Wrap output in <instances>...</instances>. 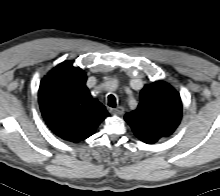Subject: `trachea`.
<instances>
[{
  "label": "trachea",
  "instance_id": "1",
  "mask_svg": "<svg viewBox=\"0 0 220 196\" xmlns=\"http://www.w3.org/2000/svg\"><path fill=\"white\" fill-rule=\"evenodd\" d=\"M108 105L112 108L116 107L117 103H116V98L114 95L108 96Z\"/></svg>",
  "mask_w": 220,
  "mask_h": 196
}]
</instances>
